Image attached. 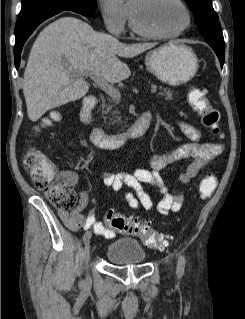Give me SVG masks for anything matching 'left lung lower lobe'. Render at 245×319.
Wrapping results in <instances>:
<instances>
[{"label":"left lung lower lobe","mask_w":245,"mask_h":319,"mask_svg":"<svg viewBox=\"0 0 245 319\" xmlns=\"http://www.w3.org/2000/svg\"><path fill=\"white\" fill-rule=\"evenodd\" d=\"M212 49L215 51L216 55L218 56L220 60L221 67H223L224 64V51L220 50L219 48L212 47Z\"/></svg>","instance_id":"left-lung-lower-lobe-1"}]
</instances>
